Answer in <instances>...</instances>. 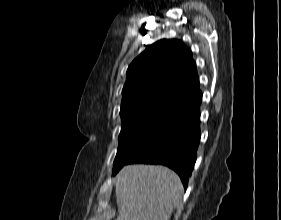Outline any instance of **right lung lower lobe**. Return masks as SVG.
Segmentation results:
<instances>
[{
	"label": "right lung lower lobe",
	"mask_w": 281,
	"mask_h": 220,
	"mask_svg": "<svg viewBox=\"0 0 281 220\" xmlns=\"http://www.w3.org/2000/svg\"><path fill=\"white\" fill-rule=\"evenodd\" d=\"M201 102L202 95L178 110L125 164L166 165L177 172L186 187L194 168L200 143L199 108Z\"/></svg>",
	"instance_id": "1"
}]
</instances>
